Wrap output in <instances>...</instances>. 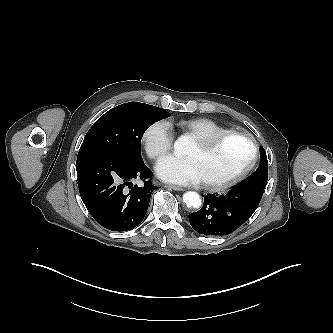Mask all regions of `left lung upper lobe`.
<instances>
[{"instance_id":"left-lung-upper-lobe-1","label":"left lung upper lobe","mask_w":333,"mask_h":333,"mask_svg":"<svg viewBox=\"0 0 333 333\" xmlns=\"http://www.w3.org/2000/svg\"><path fill=\"white\" fill-rule=\"evenodd\" d=\"M268 180V160L266 156V151L263 147L260 148V165L256 172L248 178L246 181L242 182L240 185L236 186L242 189L257 190L263 192Z\"/></svg>"}]
</instances>
